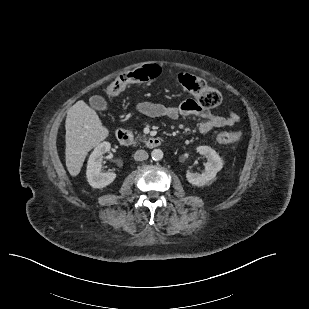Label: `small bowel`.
Here are the masks:
<instances>
[{"mask_svg":"<svg viewBox=\"0 0 309 309\" xmlns=\"http://www.w3.org/2000/svg\"><path fill=\"white\" fill-rule=\"evenodd\" d=\"M137 111L145 116L158 118L167 117L178 119L180 116H196L202 119L199 124V131L207 134L213 129L232 127L239 122L240 117L234 111H229L227 116H220L201 107L195 100L187 99L179 105L166 106L149 101L137 105Z\"/></svg>","mask_w":309,"mask_h":309,"instance_id":"small-bowel-1","label":"small bowel"}]
</instances>
